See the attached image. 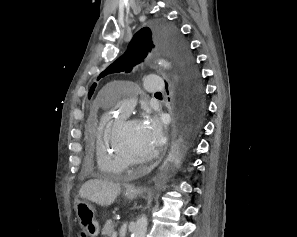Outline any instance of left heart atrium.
Wrapping results in <instances>:
<instances>
[{"label": "left heart atrium", "mask_w": 297, "mask_h": 237, "mask_svg": "<svg viewBox=\"0 0 297 237\" xmlns=\"http://www.w3.org/2000/svg\"><path fill=\"white\" fill-rule=\"evenodd\" d=\"M138 124L146 142L152 148H156L162 138V126L159 118L150 113H145Z\"/></svg>", "instance_id": "39dd6f15"}]
</instances>
